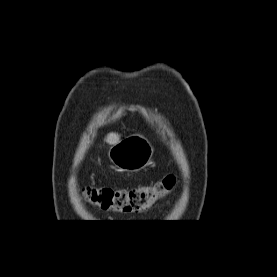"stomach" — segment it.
<instances>
[{"label": "stomach", "instance_id": "obj_1", "mask_svg": "<svg viewBox=\"0 0 277 277\" xmlns=\"http://www.w3.org/2000/svg\"><path fill=\"white\" fill-rule=\"evenodd\" d=\"M153 153L154 148L149 140L134 134L111 147L108 156L118 169L137 172L150 163Z\"/></svg>", "mask_w": 277, "mask_h": 277}]
</instances>
